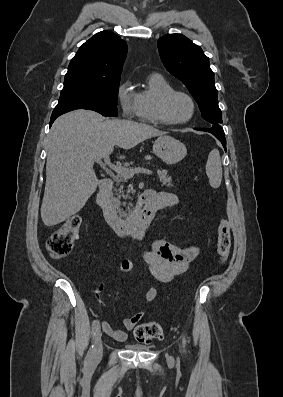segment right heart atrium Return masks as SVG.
I'll return each mask as SVG.
<instances>
[{
	"label": "right heart atrium",
	"mask_w": 283,
	"mask_h": 397,
	"mask_svg": "<svg viewBox=\"0 0 283 397\" xmlns=\"http://www.w3.org/2000/svg\"><path fill=\"white\" fill-rule=\"evenodd\" d=\"M116 99L123 117L127 119L140 117L138 95L132 89L130 81L120 83L116 91Z\"/></svg>",
	"instance_id": "1"
}]
</instances>
